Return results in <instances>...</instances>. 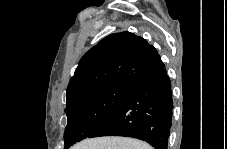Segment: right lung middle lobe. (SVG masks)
Returning <instances> with one entry per match:
<instances>
[{"label": "right lung middle lobe", "instance_id": "obj_1", "mask_svg": "<svg viewBox=\"0 0 227 149\" xmlns=\"http://www.w3.org/2000/svg\"><path fill=\"white\" fill-rule=\"evenodd\" d=\"M133 87L111 84L94 89L66 106L68 118L64 132V149L100 127L128 98Z\"/></svg>", "mask_w": 227, "mask_h": 149}]
</instances>
